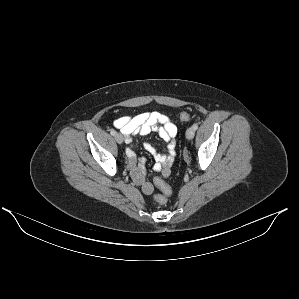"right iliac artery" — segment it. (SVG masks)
Masks as SVG:
<instances>
[{"label":"right iliac artery","instance_id":"1","mask_svg":"<svg viewBox=\"0 0 299 299\" xmlns=\"http://www.w3.org/2000/svg\"><path fill=\"white\" fill-rule=\"evenodd\" d=\"M110 134L113 135V136H115V134H116L115 130L111 129L110 130ZM126 153H127V151H126Z\"/></svg>","mask_w":299,"mask_h":299}]
</instances>
